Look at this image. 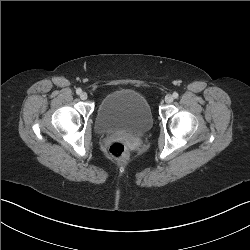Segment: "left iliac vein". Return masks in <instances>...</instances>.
<instances>
[{"mask_svg": "<svg viewBox=\"0 0 250 250\" xmlns=\"http://www.w3.org/2000/svg\"><path fill=\"white\" fill-rule=\"evenodd\" d=\"M165 102L168 103V104L172 103L173 102V96L171 94H167L165 96Z\"/></svg>", "mask_w": 250, "mask_h": 250, "instance_id": "left-iliac-vein-1", "label": "left iliac vein"}]
</instances>
